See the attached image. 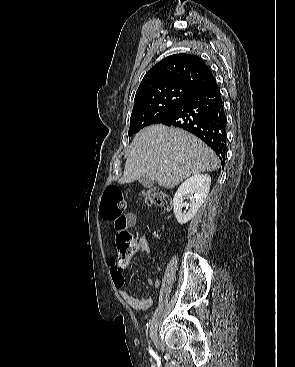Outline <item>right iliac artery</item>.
Instances as JSON below:
<instances>
[{
    "label": "right iliac artery",
    "mask_w": 295,
    "mask_h": 367,
    "mask_svg": "<svg viewBox=\"0 0 295 367\" xmlns=\"http://www.w3.org/2000/svg\"><path fill=\"white\" fill-rule=\"evenodd\" d=\"M149 352H150V353H153V352H152V350H151V348H149Z\"/></svg>",
    "instance_id": "right-iliac-artery-1"
}]
</instances>
